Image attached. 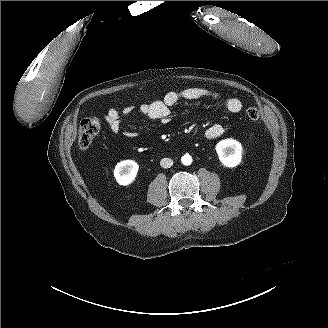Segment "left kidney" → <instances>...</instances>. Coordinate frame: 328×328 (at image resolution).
Listing matches in <instances>:
<instances>
[{"label":"left kidney","instance_id":"obj_1","mask_svg":"<svg viewBox=\"0 0 328 328\" xmlns=\"http://www.w3.org/2000/svg\"><path fill=\"white\" fill-rule=\"evenodd\" d=\"M215 151L220 162L226 168H236L242 162L245 154L243 146L232 138L218 142Z\"/></svg>","mask_w":328,"mask_h":328}]
</instances>
